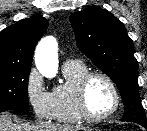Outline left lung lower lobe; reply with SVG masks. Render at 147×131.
Returning <instances> with one entry per match:
<instances>
[{
  "instance_id": "1",
  "label": "left lung lower lobe",
  "mask_w": 147,
  "mask_h": 131,
  "mask_svg": "<svg viewBox=\"0 0 147 131\" xmlns=\"http://www.w3.org/2000/svg\"><path fill=\"white\" fill-rule=\"evenodd\" d=\"M140 125L143 126L147 130V124H140Z\"/></svg>"
}]
</instances>
